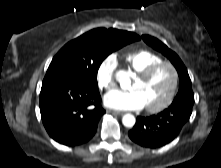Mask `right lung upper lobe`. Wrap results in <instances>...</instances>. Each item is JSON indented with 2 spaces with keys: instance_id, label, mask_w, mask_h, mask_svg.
<instances>
[{
  "instance_id": "1",
  "label": "right lung upper lobe",
  "mask_w": 221,
  "mask_h": 168,
  "mask_svg": "<svg viewBox=\"0 0 221 168\" xmlns=\"http://www.w3.org/2000/svg\"><path fill=\"white\" fill-rule=\"evenodd\" d=\"M137 36V38H138V40L140 39V37L138 36V35H136Z\"/></svg>"
}]
</instances>
